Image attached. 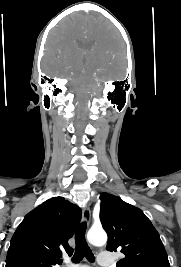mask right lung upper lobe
<instances>
[{
    "label": "right lung upper lobe",
    "mask_w": 181,
    "mask_h": 267,
    "mask_svg": "<svg viewBox=\"0 0 181 267\" xmlns=\"http://www.w3.org/2000/svg\"><path fill=\"white\" fill-rule=\"evenodd\" d=\"M82 211L63 197H53L29 212L15 231L5 267H53L63 251L73 252L68 240Z\"/></svg>",
    "instance_id": "obj_1"
}]
</instances>
